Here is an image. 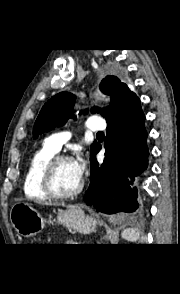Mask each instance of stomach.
Returning <instances> with one entry per match:
<instances>
[{"label": "stomach", "instance_id": "stomach-1", "mask_svg": "<svg viewBox=\"0 0 180 294\" xmlns=\"http://www.w3.org/2000/svg\"><path fill=\"white\" fill-rule=\"evenodd\" d=\"M11 222L17 233L25 238L39 234L44 228V219L29 203L17 202L11 208ZM58 222L69 229L90 233L96 228L93 216L78 207H69L58 216Z\"/></svg>", "mask_w": 180, "mask_h": 294}]
</instances>
